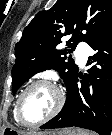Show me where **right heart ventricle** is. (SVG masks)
<instances>
[{"instance_id": "1", "label": "right heart ventricle", "mask_w": 112, "mask_h": 135, "mask_svg": "<svg viewBox=\"0 0 112 135\" xmlns=\"http://www.w3.org/2000/svg\"><path fill=\"white\" fill-rule=\"evenodd\" d=\"M12 118L16 124L23 126V124L18 120L16 115V102L14 103L12 108Z\"/></svg>"}]
</instances>
